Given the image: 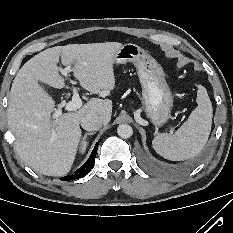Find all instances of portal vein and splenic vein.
I'll return each mask as SVG.
<instances>
[{"instance_id": "18ae733b", "label": "portal vein and splenic vein", "mask_w": 233, "mask_h": 233, "mask_svg": "<svg viewBox=\"0 0 233 233\" xmlns=\"http://www.w3.org/2000/svg\"><path fill=\"white\" fill-rule=\"evenodd\" d=\"M70 66H68L67 68H65L64 70H62V74L63 75H67V73L69 72ZM82 100L79 97V94L76 90V88H73V96H72V100L68 103L65 104V110L67 111H75L77 109H79L82 106ZM62 114L61 110L58 109L55 111V113L53 114L54 118L59 117Z\"/></svg>"}]
</instances>
